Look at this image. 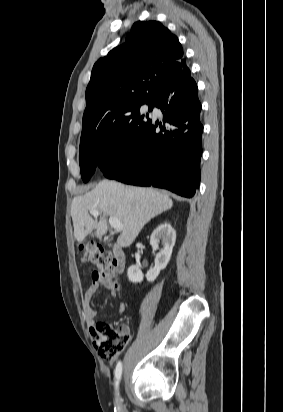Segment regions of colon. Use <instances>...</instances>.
I'll return each instance as SVG.
<instances>
[{
    "label": "colon",
    "instance_id": "1",
    "mask_svg": "<svg viewBox=\"0 0 283 412\" xmlns=\"http://www.w3.org/2000/svg\"><path fill=\"white\" fill-rule=\"evenodd\" d=\"M82 254L83 261L93 266V277L108 280L114 285L118 283L115 261L102 246H85ZM92 332L100 355L106 359H112L119 354L130 340L127 330L123 327L116 328L108 322H97Z\"/></svg>",
    "mask_w": 283,
    "mask_h": 412
}]
</instances>
